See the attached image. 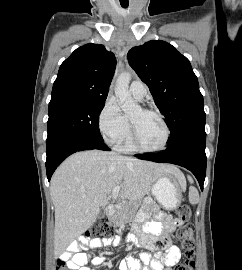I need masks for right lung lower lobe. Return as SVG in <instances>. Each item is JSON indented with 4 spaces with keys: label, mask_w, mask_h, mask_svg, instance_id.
I'll return each mask as SVG.
<instances>
[{
    "label": "right lung lower lobe",
    "mask_w": 242,
    "mask_h": 270,
    "mask_svg": "<svg viewBox=\"0 0 242 270\" xmlns=\"http://www.w3.org/2000/svg\"><path fill=\"white\" fill-rule=\"evenodd\" d=\"M91 149L110 151V148L104 143V141H97L84 137H66L53 142L49 147H47L46 170L48 180L50 181L55 169L69 155L77 151Z\"/></svg>",
    "instance_id": "1"
}]
</instances>
